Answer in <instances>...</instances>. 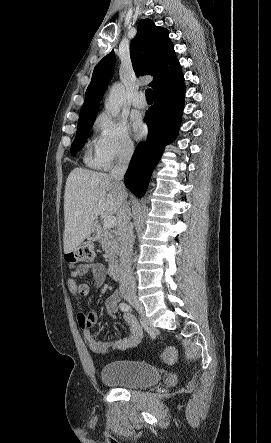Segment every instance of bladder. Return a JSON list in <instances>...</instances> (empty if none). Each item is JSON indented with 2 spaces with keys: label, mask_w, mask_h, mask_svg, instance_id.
Wrapping results in <instances>:
<instances>
[{
  "label": "bladder",
  "mask_w": 271,
  "mask_h": 443,
  "mask_svg": "<svg viewBox=\"0 0 271 443\" xmlns=\"http://www.w3.org/2000/svg\"><path fill=\"white\" fill-rule=\"evenodd\" d=\"M100 378L107 386L130 389L154 385L161 380V374L144 361L116 360L102 367Z\"/></svg>",
  "instance_id": "1"
}]
</instances>
